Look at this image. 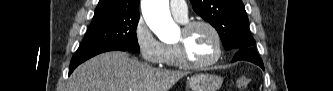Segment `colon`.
Wrapping results in <instances>:
<instances>
[{"label":"colon","instance_id":"1","mask_svg":"<svg viewBox=\"0 0 333 91\" xmlns=\"http://www.w3.org/2000/svg\"><path fill=\"white\" fill-rule=\"evenodd\" d=\"M250 78L247 76H242L238 79L237 85L240 90H245L247 86L250 84Z\"/></svg>","mask_w":333,"mask_h":91}]
</instances>
